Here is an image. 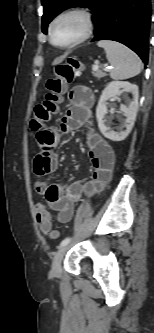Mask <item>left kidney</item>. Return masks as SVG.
<instances>
[{"label":"left kidney","instance_id":"left-kidney-1","mask_svg":"<svg viewBox=\"0 0 154 333\" xmlns=\"http://www.w3.org/2000/svg\"><path fill=\"white\" fill-rule=\"evenodd\" d=\"M121 89L130 92L133 96L132 101L128 105L121 104L120 111L123 112L126 119L122 122L121 127L118 131H114L111 128V117H106L108 113L107 105L108 100L116 97L120 94ZM138 97L139 91L138 86L127 81H112L103 90L97 108H96V118L98 121V127L101 133L108 139L112 141H122L131 132L134 122L136 119V114L138 110Z\"/></svg>","mask_w":154,"mask_h":333}]
</instances>
